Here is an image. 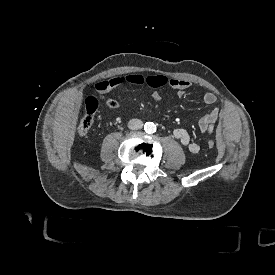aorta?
<instances>
[{"label":"aorta","instance_id":"obj_1","mask_svg":"<svg viewBox=\"0 0 275 275\" xmlns=\"http://www.w3.org/2000/svg\"><path fill=\"white\" fill-rule=\"evenodd\" d=\"M144 130L148 134H152L156 131V126L153 122H147L145 124Z\"/></svg>","mask_w":275,"mask_h":275}]
</instances>
